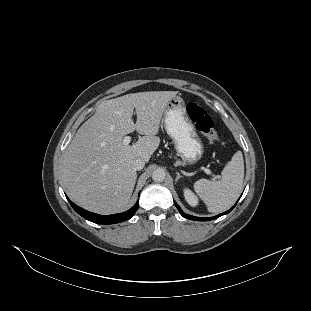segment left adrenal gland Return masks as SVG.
<instances>
[{"instance_id": "1", "label": "left adrenal gland", "mask_w": 311, "mask_h": 311, "mask_svg": "<svg viewBox=\"0 0 311 311\" xmlns=\"http://www.w3.org/2000/svg\"><path fill=\"white\" fill-rule=\"evenodd\" d=\"M176 175H177V177H176L175 182H178V180H179L180 178H182V177H181L180 173H176Z\"/></svg>"}]
</instances>
